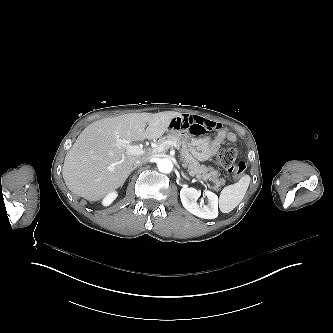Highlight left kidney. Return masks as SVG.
Returning a JSON list of instances; mask_svg holds the SVG:
<instances>
[{"mask_svg":"<svg viewBox=\"0 0 333 333\" xmlns=\"http://www.w3.org/2000/svg\"><path fill=\"white\" fill-rule=\"evenodd\" d=\"M205 195L208 198V204L200 207L196 199L199 191L195 188L183 187L180 191V199L183 207L195 216L204 219H214L218 217V196L207 190Z\"/></svg>","mask_w":333,"mask_h":333,"instance_id":"obj_1","label":"left kidney"}]
</instances>
